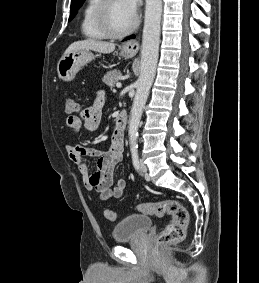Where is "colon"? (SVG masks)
I'll return each mask as SVG.
<instances>
[{
	"instance_id": "obj_1",
	"label": "colon",
	"mask_w": 259,
	"mask_h": 283,
	"mask_svg": "<svg viewBox=\"0 0 259 283\" xmlns=\"http://www.w3.org/2000/svg\"><path fill=\"white\" fill-rule=\"evenodd\" d=\"M79 110L77 101L72 97L65 99V111L67 113H76ZM137 210L143 214L162 217L170 215L172 220L166 225L164 230L157 236V246H167L182 241L186 234L189 222L187 209L174 199L164 200L158 203H140ZM105 218L108 221H115L116 215L112 210L105 211Z\"/></svg>"
}]
</instances>
